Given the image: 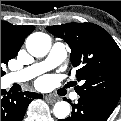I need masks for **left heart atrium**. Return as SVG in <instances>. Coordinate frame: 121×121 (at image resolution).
I'll return each instance as SVG.
<instances>
[{"label":"left heart atrium","mask_w":121,"mask_h":121,"mask_svg":"<svg viewBox=\"0 0 121 121\" xmlns=\"http://www.w3.org/2000/svg\"><path fill=\"white\" fill-rule=\"evenodd\" d=\"M44 85H45V81L42 80L39 82V86H44Z\"/></svg>","instance_id":"39dd6f15"}]
</instances>
